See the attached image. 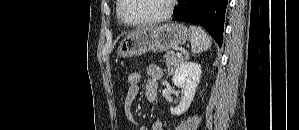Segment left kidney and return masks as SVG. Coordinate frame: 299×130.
<instances>
[{
    "mask_svg": "<svg viewBox=\"0 0 299 130\" xmlns=\"http://www.w3.org/2000/svg\"><path fill=\"white\" fill-rule=\"evenodd\" d=\"M202 69L200 64L194 62H182L173 74V83L184 92V96L176 107H170L172 115L185 113L191 105L196 89L201 79Z\"/></svg>",
    "mask_w": 299,
    "mask_h": 130,
    "instance_id": "1",
    "label": "left kidney"
}]
</instances>
